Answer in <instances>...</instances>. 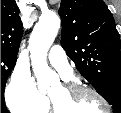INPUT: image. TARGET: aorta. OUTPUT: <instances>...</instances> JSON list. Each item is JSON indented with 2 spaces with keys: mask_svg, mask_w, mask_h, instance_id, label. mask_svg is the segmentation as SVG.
Here are the masks:
<instances>
[{
  "mask_svg": "<svg viewBox=\"0 0 121 113\" xmlns=\"http://www.w3.org/2000/svg\"><path fill=\"white\" fill-rule=\"evenodd\" d=\"M59 28L60 19L56 14H44L36 23L29 39L32 67L41 92L47 91L58 80L55 72L49 68L46 57Z\"/></svg>",
  "mask_w": 121,
  "mask_h": 113,
  "instance_id": "obj_1",
  "label": "aorta"
}]
</instances>
